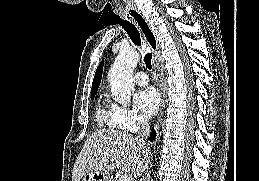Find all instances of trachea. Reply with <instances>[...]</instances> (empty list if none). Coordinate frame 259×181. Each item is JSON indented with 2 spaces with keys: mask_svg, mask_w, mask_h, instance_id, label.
<instances>
[{
  "mask_svg": "<svg viewBox=\"0 0 259 181\" xmlns=\"http://www.w3.org/2000/svg\"><path fill=\"white\" fill-rule=\"evenodd\" d=\"M120 25L127 32V34L129 35L133 43L137 46H141L142 42H141L140 33L135 27V25H133L129 21H124L120 23ZM151 61H152V54L147 52L144 56V62L148 69L152 68Z\"/></svg>",
  "mask_w": 259,
  "mask_h": 181,
  "instance_id": "trachea-1",
  "label": "trachea"
}]
</instances>
